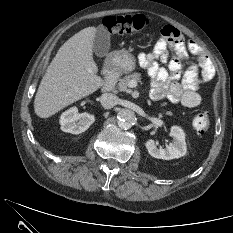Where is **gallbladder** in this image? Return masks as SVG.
Here are the masks:
<instances>
[{"instance_id": "1", "label": "gallbladder", "mask_w": 233, "mask_h": 233, "mask_svg": "<svg viewBox=\"0 0 233 233\" xmlns=\"http://www.w3.org/2000/svg\"><path fill=\"white\" fill-rule=\"evenodd\" d=\"M110 50V33L107 28L103 25L97 27L94 43L93 52L98 57H104L108 54Z\"/></svg>"}]
</instances>
